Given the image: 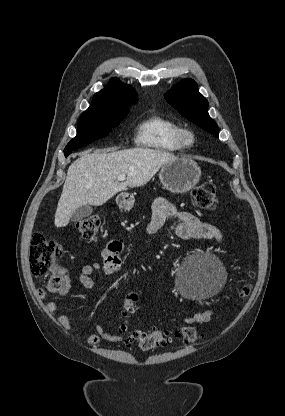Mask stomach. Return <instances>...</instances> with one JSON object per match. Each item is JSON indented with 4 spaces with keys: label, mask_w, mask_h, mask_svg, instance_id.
Returning <instances> with one entry per match:
<instances>
[{
    "label": "stomach",
    "mask_w": 285,
    "mask_h": 416,
    "mask_svg": "<svg viewBox=\"0 0 285 416\" xmlns=\"http://www.w3.org/2000/svg\"><path fill=\"white\" fill-rule=\"evenodd\" d=\"M159 178L164 188L172 194H185L198 184L201 168L190 158H177L162 166ZM117 204L124 206L126 210H131L134 206V198H127L126 194H123L119 196Z\"/></svg>",
    "instance_id": "0dacf381"
}]
</instances>
